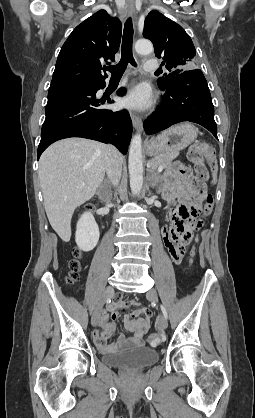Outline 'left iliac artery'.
Segmentation results:
<instances>
[{
    "mask_svg": "<svg viewBox=\"0 0 255 418\" xmlns=\"http://www.w3.org/2000/svg\"><path fill=\"white\" fill-rule=\"evenodd\" d=\"M161 309H162V312H163L164 316H165L166 318H168V314H167V311H166V309L164 308V306H161Z\"/></svg>",
    "mask_w": 255,
    "mask_h": 418,
    "instance_id": "44dca946",
    "label": "left iliac artery"
}]
</instances>
